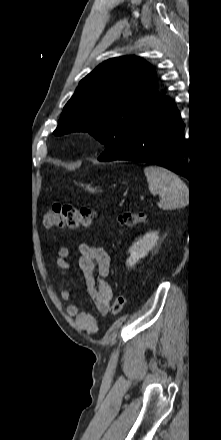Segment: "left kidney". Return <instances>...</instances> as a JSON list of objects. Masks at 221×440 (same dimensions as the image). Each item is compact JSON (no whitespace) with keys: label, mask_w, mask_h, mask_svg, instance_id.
<instances>
[{"label":"left kidney","mask_w":221,"mask_h":440,"mask_svg":"<svg viewBox=\"0 0 221 440\" xmlns=\"http://www.w3.org/2000/svg\"><path fill=\"white\" fill-rule=\"evenodd\" d=\"M158 241V232L146 233L143 237L132 244L129 249L130 257L127 259L128 267L134 266L141 258H144L153 249Z\"/></svg>","instance_id":"obj_1"}]
</instances>
